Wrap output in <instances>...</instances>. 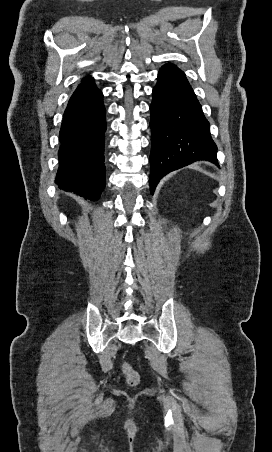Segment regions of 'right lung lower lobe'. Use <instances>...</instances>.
I'll use <instances>...</instances> for the list:
<instances>
[{
	"label": "right lung lower lobe",
	"mask_w": 272,
	"mask_h": 452,
	"mask_svg": "<svg viewBox=\"0 0 272 452\" xmlns=\"http://www.w3.org/2000/svg\"><path fill=\"white\" fill-rule=\"evenodd\" d=\"M103 94L88 78L76 88L60 130L56 183L64 191L99 199L105 187Z\"/></svg>",
	"instance_id": "1"
}]
</instances>
